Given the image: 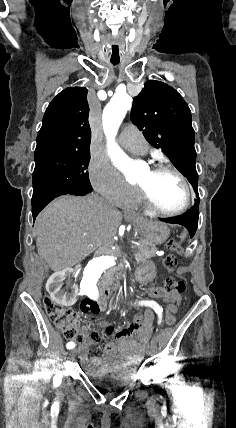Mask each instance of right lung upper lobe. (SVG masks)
I'll return each instance as SVG.
<instances>
[{
    "label": "right lung upper lobe",
    "instance_id": "cb5924a9",
    "mask_svg": "<svg viewBox=\"0 0 236 428\" xmlns=\"http://www.w3.org/2000/svg\"><path fill=\"white\" fill-rule=\"evenodd\" d=\"M87 89L69 87L49 104L35 151H87L91 141Z\"/></svg>",
    "mask_w": 236,
    "mask_h": 428
}]
</instances>
